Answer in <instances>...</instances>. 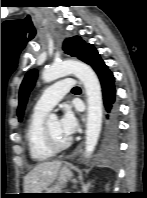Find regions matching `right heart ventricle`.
Here are the masks:
<instances>
[{
	"label": "right heart ventricle",
	"instance_id": "e07e8e85",
	"mask_svg": "<svg viewBox=\"0 0 147 198\" xmlns=\"http://www.w3.org/2000/svg\"><path fill=\"white\" fill-rule=\"evenodd\" d=\"M45 114L46 112L33 110L25 129V140L29 155L37 163L45 162L54 155V153L48 150L43 139V120Z\"/></svg>",
	"mask_w": 147,
	"mask_h": 198
}]
</instances>
